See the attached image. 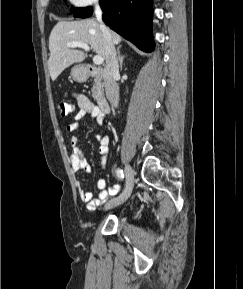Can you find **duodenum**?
<instances>
[{
  "mask_svg": "<svg viewBox=\"0 0 243 289\" xmlns=\"http://www.w3.org/2000/svg\"><path fill=\"white\" fill-rule=\"evenodd\" d=\"M85 74L89 77H102L103 76V69L92 66V65H87L84 68ZM97 105L102 114H108L110 111L109 103L108 100L106 99L104 94H99L97 97Z\"/></svg>",
  "mask_w": 243,
  "mask_h": 289,
  "instance_id": "1",
  "label": "duodenum"
}]
</instances>
